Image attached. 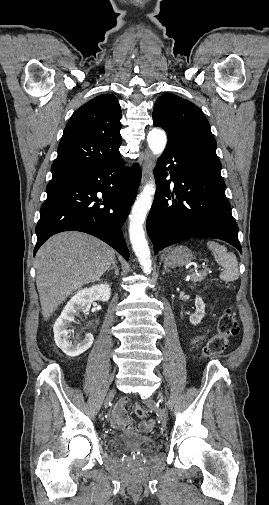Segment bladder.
Wrapping results in <instances>:
<instances>
[{
	"label": "bladder",
	"instance_id": "bladder-1",
	"mask_svg": "<svg viewBox=\"0 0 269 505\" xmlns=\"http://www.w3.org/2000/svg\"><path fill=\"white\" fill-rule=\"evenodd\" d=\"M154 439L148 435L142 436H120L113 440L115 446L118 447H145L150 446Z\"/></svg>",
	"mask_w": 269,
	"mask_h": 505
}]
</instances>
